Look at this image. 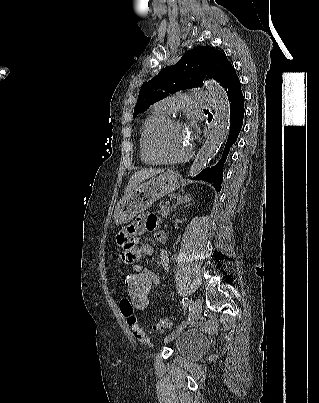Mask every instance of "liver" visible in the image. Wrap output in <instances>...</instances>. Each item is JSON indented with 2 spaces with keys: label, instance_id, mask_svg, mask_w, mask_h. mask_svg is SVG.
<instances>
[{
  "label": "liver",
  "instance_id": "obj_1",
  "mask_svg": "<svg viewBox=\"0 0 319 403\" xmlns=\"http://www.w3.org/2000/svg\"><path fill=\"white\" fill-rule=\"evenodd\" d=\"M162 172H163L162 169H152V168L136 172L135 174L132 175V177L128 182L127 188L125 189L124 197L128 195L133 190V188H135L143 181Z\"/></svg>",
  "mask_w": 319,
  "mask_h": 403
}]
</instances>
